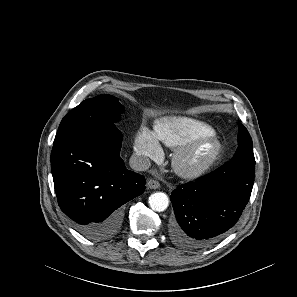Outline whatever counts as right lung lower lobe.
I'll return each mask as SVG.
<instances>
[{
	"instance_id": "98d812e1",
	"label": "right lung lower lobe",
	"mask_w": 297,
	"mask_h": 297,
	"mask_svg": "<svg viewBox=\"0 0 297 297\" xmlns=\"http://www.w3.org/2000/svg\"><path fill=\"white\" fill-rule=\"evenodd\" d=\"M121 144V132L108 128L54 140L51 170L59 207L92 240L115 236L123 205L145 190V178L126 169Z\"/></svg>"
}]
</instances>
